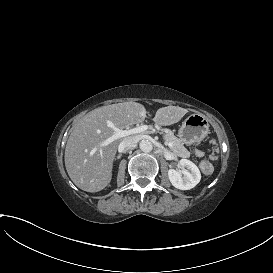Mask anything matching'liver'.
Returning a JSON list of instances; mask_svg holds the SVG:
<instances>
[{
    "mask_svg": "<svg viewBox=\"0 0 273 273\" xmlns=\"http://www.w3.org/2000/svg\"><path fill=\"white\" fill-rule=\"evenodd\" d=\"M188 110L179 106L158 108L153 122L166 127L178 123ZM147 109L138 102H123L102 106L88 112L71 132L65 147L66 171L81 190L96 193L112 180L113 164L124 138L105 144L115 129L128 128L145 121Z\"/></svg>",
    "mask_w": 273,
    "mask_h": 273,
    "instance_id": "1",
    "label": "liver"
}]
</instances>
